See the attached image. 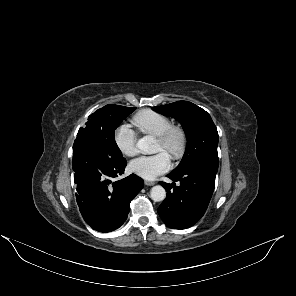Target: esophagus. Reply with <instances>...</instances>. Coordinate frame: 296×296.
<instances>
[{"label":"esophagus","instance_id":"obj_1","mask_svg":"<svg viewBox=\"0 0 296 296\" xmlns=\"http://www.w3.org/2000/svg\"><path fill=\"white\" fill-rule=\"evenodd\" d=\"M144 183H145V185H147V186H153V185L155 184L154 181H150V180H145Z\"/></svg>","mask_w":296,"mask_h":296}]
</instances>
